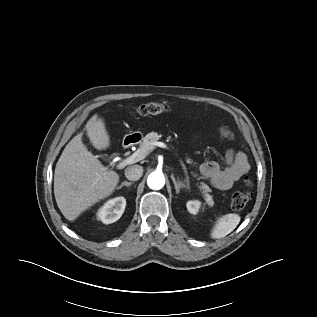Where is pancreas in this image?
Listing matches in <instances>:
<instances>
[{
	"label": "pancreas",
	"mask_w": 317,
	"mask_h": 317,
	"mask_svg": "<svg viewBox=\"0 0 317 317\" xmlns=\"http://www.w3.org/2000/svg\"><path fill=\"white\" fill-rule=\"evenodd\" d=\"M161 136L162 135H159L157 132L148 133L144 137L143 142H141L140 149H145V151L147 153H150L154 149L153 143L157 142L161 138ZM199 189L201 190L203 197L206 200L207 204L210 207H212L214 205V201H213L212 196L208 193L211 191L209 186L207 184H205L204 182H201Z\"/></svg>",
	"instance_id": "obj_1"
}]
</instances>
